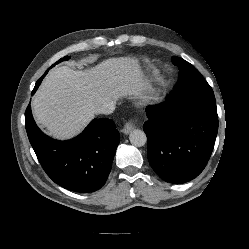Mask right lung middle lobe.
<instances>
[{"instance_id": "obj_1", "label": "right lung middle lobe", "mask_w": 249, "mask_h": 249, "mask_svg": "<svg viewBox=\"0 0 249 249\" xmlns=\"http://www.w3.org/2000/svg\"><path fill=\"white\" fill-rule=\"evenodd\" d=\"M68 58H69L68 56H66V57H64V58H61V59L58 60L55 64H57V63H59V62H61V61H66V60H68ZM55 64H54V65H55ZM54 65H53V66H54ZM53 66H52V67H53ZM47 72H48V70L45 72V74H44L42 77H44V76L46 75Z\"/></svg>"}]
</instances>
